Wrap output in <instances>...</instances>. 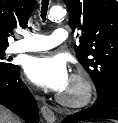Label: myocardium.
Returning <instances> with one entry per match:
<instances>
[{"label":"myocardium","instance_id":"f54148a6","mask_svg":"<svg viewBox=\"0 0 118 123\" xmlns=\"http://www.w3.org/2000/svg\"><path fill=\"white\" fill-rule=\"evenodd\" d=\"M70 81L79 87L78 95L76 97H69L59 93L57 95L58 102L69 108H82L87 106L93 100L95 92L90 77L83 72H77L72 75Z\"/></svg>","mask_w":118,"mask_h":123}]
</instances>
